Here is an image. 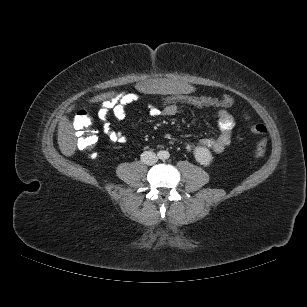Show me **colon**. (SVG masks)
I'll list each match as a JSON object with an SVG mask.
<instances>
[{
    "label": "colon",
    "instance_id": "obj_1",
    "mask_svg": "<svg viewBox=\"0 0 307 307\" xmlns=\"http://www.w3.org/2000/svg\"><path fill=\"white\" fill-rule=\"evenodd\" d=\"M148 104L158 106L160 108L168 105H191L195 107H219L226 108L233 104V98L230 95H222L214 97L209 95H194V94H172L166 96L152 97L148 100ZM243 115L246 119H251L250 115L244 111ZM92 119L89 113L85 110L79 111L74 120L73 127L76 131L78 146L81 150L93 153L98 136L94 130L91 129ZM251 129L254 133L262 136L255 146L254 155L262 157L266 151V141L263 138L268 132L267 127L258 122L251 123Z\"/></svg>",
    "mask_w": 307,
    "mask_h": 307
}]
</instances>
